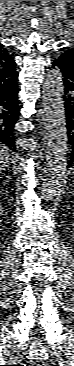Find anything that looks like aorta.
Returning <instances> with one entry per match:
<instances>
[{
    "instance_id": "1",
    "label": "aorta",
    "mask_w": 74,
    "mask_h": 366,
    "mask_svg": "<svg viewBox=\"0 0 74 366\" xmlns=\"http://www.w3.org/2000/svg\"><path fill=\"white\" fill-rule=\"evenodd\" d=\"M63 93L62 73L59 69L50 70L42 88L47 152L40 190L46 200L52 199L62 190L68 164V131Z\"/></svg>"
}]
</instances>
